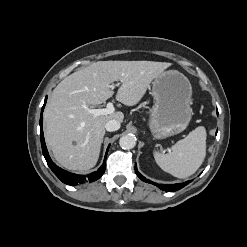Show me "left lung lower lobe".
I'll list each match as a JSON object with an SVG mask.
<instances>
[{"instance_id": "0a47b994", "label": "left lung lower lobe", "mask_w": 247, "mask_h": 247, "mask_svg": "<svg viewBox=\"0 0 247 247\" xmlns=\"http://www.w3.org/2000/svg\"><path fill=\"white\" fill-rule=\"evenodd\" d=\"M135 172L137 174V176L144 182L147 183H151L156 185L158 188H160L161 190H164L166 192H174L176 190H179L181 188H183L186 184H188L190 181L184 182V183H178V184H156L148 179H146L145 177H143L138 171H137V167L135 165Z\"/></svg>"}]
</instances>
